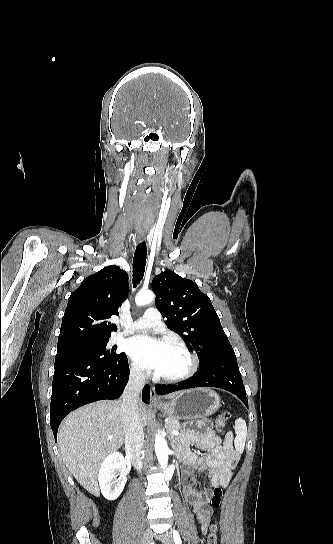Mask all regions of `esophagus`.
<instances>
[{
    "mask_svg": "<svg viewBox=\"0 0 333 544\" xmlns=\"http://www.w3.org/2000/svg\"><path fill=\"white\" fill-rule=\"evenodd\" d=\"M144 239V236L143 235H140L139 236V241H142ZM150 397H151V402L153 404H158L161 402L160 398L158 397L157 393H156V390L155 388L152 386L151 389H150Z\"/></svg>",
    "mask_w": 333,
    "mask_h": 544,
    "instance_id": "34e87169",
    "label": "esophagus"
}]
</instances>
